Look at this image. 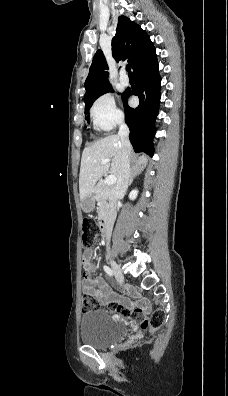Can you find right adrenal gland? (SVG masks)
<instances>
[{
  "label": "right adrenal gland",
  "instance_id": "2a0ac1e0",
  "mask_svg": "<svg viewBox=\"0 0 228 396\" xmlns=\"http://www.w3.org/2000/svg\"><path fill=\"white\" fill-rule=\"evenodd\" d=\"M143 170H144V166H143V165H138V164H135V165L131 168V171H130V180H129V184H130V185L132 184L134 178H135L136 176H138L139 174H141V172H142Z\"/></svg>",
  "mask_w": 228,
  "mask_h": 396
}]
</instances>
